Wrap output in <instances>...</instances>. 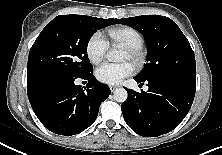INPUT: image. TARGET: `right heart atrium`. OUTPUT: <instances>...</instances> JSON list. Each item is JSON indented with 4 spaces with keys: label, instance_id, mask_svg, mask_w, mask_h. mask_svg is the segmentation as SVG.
I'll return each mask as SVG.
<instances>
[{
    "label": "right heart atrium",
    "instance_id": "obj_1",
    "mask_svg": "<svg viewBox=\"0 0 222 155\" xmlns=\"http://www.w3.org/2000/svg\"><path fill=\"white\" fill-rule=\"evenodd\" d=\"M109 43L101 32H95L87 42V56L94 63H100L106 55Z\"/></svg>",
    "mask_w": 222,
    "mask_h": 155
}]
</instances>
